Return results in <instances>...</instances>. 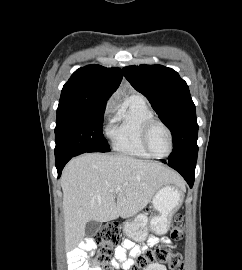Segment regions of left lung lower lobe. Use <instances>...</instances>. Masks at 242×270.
Returning <instances> with one entry per match:
<instances>
[{
    "instance_id": "0a47b994",
    "label": "left lung lower lobe",
    "mask_w": 242,
    "mask_h": 270,
    "mask_svg": "<svg viewBox=\"0 0 242 270\" xmlns=\"http://www.w3.org/2000/svg\"><path fill=\"white\" fill-rule=\"evenodd\" d=\"M167 164L168 166L178 171L184 177L190 187L193 186L196 161H188L182 163L167 162Z\"/></svg>"
}]
</instances>
